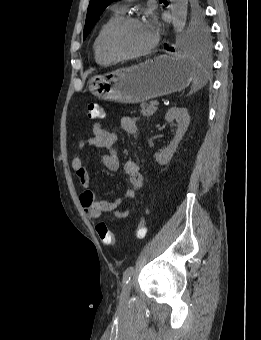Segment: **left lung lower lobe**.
Returning a JSON list of instances; mask_svg holds the SVG:
<instances>
[{
	"mask_svg": "<svg viewBox=\"0 0 261 340\" xmlns=\"http://www.w3.org/2000/svg\"><path fill=\"white\" fill-rule=\"evenodd\" d=\"M165 48L170 51H174V48H168L167 44L165 45Z\"/></svg>",
	"mask_w": 261,
	"mask_h": 340,
	"instance_id": "obj_1",
	"label": "left lung lower lobe"
}]
</instances>
